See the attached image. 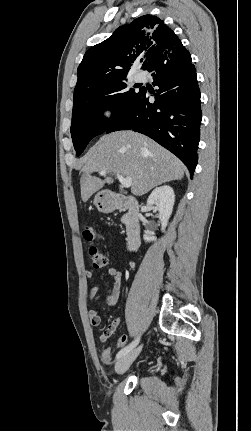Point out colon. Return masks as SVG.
Wrapping results in <instances>:
<instances>
[{
  "instance_id": "colon-1",
  "label": "colon",
  "mask_w": 251,
  "mask_h": 431,
  "mask_svg": "<svg viewBox=\"0 0 251 431\" xmlns=\"http://www.w3.org/2000/svg\"><path fill=\"white\" fill-rule=\"evenodd\" d=\"M84 239L89 243V257L92 265L95 268H103L108 264V258L103 251H101L96 245V241L99 239V234L97 230L91 226H88L83 231ZM128 337L122 335L118 338L116 345L109 346V349H114L116 351H122L123 346L127 343ZM114 351L104 350L101 353L102 364L108 366L111 363L112 356H114ZM110 367H114V364H110Z\"/></svg>"
}]
</instances>
